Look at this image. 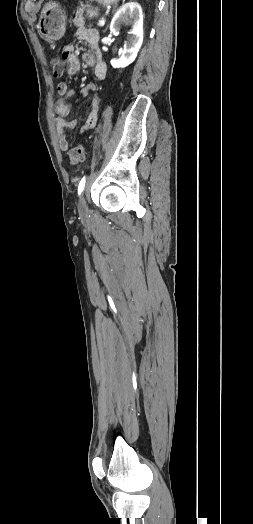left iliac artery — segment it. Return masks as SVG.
<instances>
[{
    "mask_svg": "<svg viewBox=\"0 0 253 524\" xmlns=\"http://www.w3.org/2000/svg\"><path fill=\"white\" fill-rule=\"evenodd\" d=\"M85 182H86V177L84 176L80 183H79V186H78V195H81V193L83 192L84 190V187H85Z\"/></svg>",
    "mask_w": 253,
    "mask_h": 524,
    "instance_id": "left-iliac-artery-1",
    "label": "left iliac artery"
}]
</instances>
